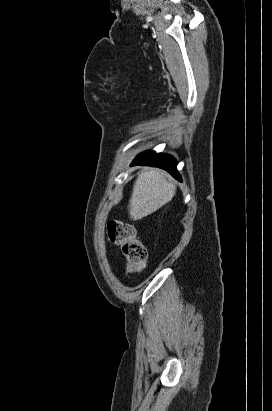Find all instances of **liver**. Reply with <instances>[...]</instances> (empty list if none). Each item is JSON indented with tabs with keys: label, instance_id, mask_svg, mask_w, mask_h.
<instances>
[{
	"label": "liver",
	"instance_id": "6515ba94",
	"mask_svg": "<svg viewBox=\"0 0 272 411\" xmlns=\"http://www.w3.org/2000/svg\"><path fill=\"white\" fill-rule=\"evenodd\" d=\"M176 185L168 182L165 172L159 169L144 170L134 183L129 202L132 220L146 217L169 202L174 196Z\"/></svg>",
	"mask_w": 272,
	"mask_h": 411
}]
</instances>
